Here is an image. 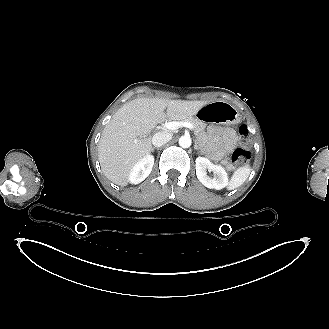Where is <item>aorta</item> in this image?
<instances>
[{"label":"aorta","instance_id":"obj_1","mask_svg":"<svg viewBox=\"0 0 329 329\" xmlns=\"http://www.w3.org/2000/svg\"><path fill=\"white\" fill-rule=\"evenodd\" d=\"M192 140L190 136L184 135L179 138V145L182 148H188L191 146Z\"/></svg>","mask_w":329,"mask_h":329}]
</instances>
